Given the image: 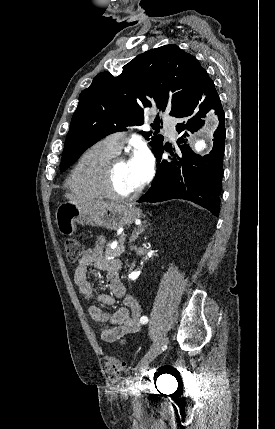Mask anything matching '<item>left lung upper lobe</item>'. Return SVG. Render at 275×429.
<instances>
[{"label":"left lung upper lobe","instance_id":"1","mask_svg":"<svg viewBox=\"0 0 275 429\" xmlns=\"http://www.w3.org/2000/svg\"><path fill=\"white\" fill-rule=\"evenodd\" d=\"M198 60L177 45L151 49L123 66L113 76L101 72L79 96L66 137L60 171H65L91 145L103 137L144 122V110L156 106L177 114L190 101L202 71ZM157 130L159 118L151 125ZM157 128V129H156ZM147 140L152 132H140ZM150 145L156 154L163 136L154 132Z\"/></svg>","mask_w":275,"mask_h":429}]
</instances>
